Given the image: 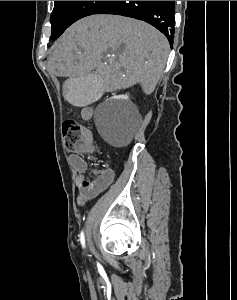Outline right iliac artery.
<instances>
[{
  "label": "right iliac artery",
  "instance_id": "obj_1",
  "mask_svg": "<svg viewBox=\"0 0 237 300\" xmlns=\"http://www.w3.org/2000/svg\"><path fill=\"white\" fill-rule=\"evenodd\" d=\"M81 243L84 246L85 240H84V234H83V232L81 233Z\"/></svg>",
  "mask_w": 237,
  "mask_h": 300
}]
</instances>
